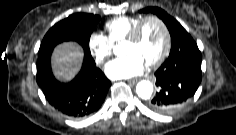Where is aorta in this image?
Returning a JSON list of instances; mask_svg holds the SVG:
<instances>
[{"instance_id":"762f6f07","label":"aorta","mask_w":236,"mask_h":135,"mask_svg":"<svg viewBox=\"0 0 236 135\" xmlns=\"http://www.w3.org/2000/svg\"><path fill=\"white\" fill-rule=\"evenodd\" d=\"M136 93L141 99H150L153 93V85L150 81L142 80L136 85Z\"/></svg>"}]
</instances>
